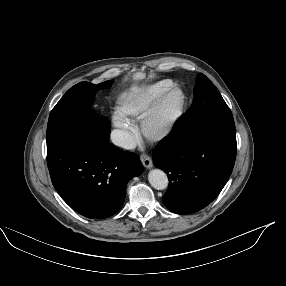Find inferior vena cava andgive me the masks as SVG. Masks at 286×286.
<instances>
[{
    "label": "inferior vena cava",
    "mask_w": 286,
    "mask_h": 286,
    "mask_svg": "<svg viewBox=\"0 0 286 286\" xmlns=\"http://www.w3.org/2000/svg\"><path fill=\"white\" fill-rule=\"evenodd\" d=\"M111 140L114 145L124 149L135 148V141L132 134L125 130H113L111 133Z\"/></svg>",
    "instance_id": "602c4592"
}]
</instances>
